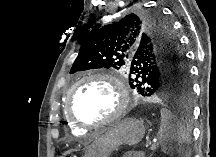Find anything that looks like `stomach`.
I'll list each match as a JSON object with an SVG mask.
<instances>
[{
	"mask_svg": "<svg viewBox=\"0 0 216 157\" xmlns=\"http://www.w3.org/2000/svg\"><path fill=\"white\" fill-rule=\"evenodd\" d=\"M144 133L142 122L132 118L124 119L98 136L88 147L84 157H110L122 145L138 143Z\"/></svg>",
	"mask_w": 216,
	"mask_h": 157,
	"instance_id": "stomach-1",
	"label": "stomach"
}]
</instances>
